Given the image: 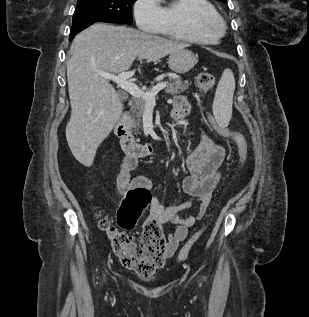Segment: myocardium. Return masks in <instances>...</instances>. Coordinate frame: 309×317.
Segmentation results:
<instances>
[{"mask_svg":"<svg viewBox=\"0 0 309 317\" xmlns=\"http://www.w3.org/2000/svg\"><path fill=\"white\" fill-rule=\"evenodd\" d=\"M190 23L192 29L199 34L220 37L225 31V22L219 15L203 11L193 13Z\"/></svg>","mask_w":309,"mask_h":317,"instance_id":"obj_1","label":"myocardium"}]
</instances>
